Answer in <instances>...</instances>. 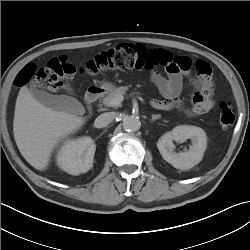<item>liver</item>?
<instances>
[{
  "label": "liver",
  "instance_id": "obj_1",
  "mask_svg": "<svg viewBox=\"0 0 250 250\" xmlns=\"http://www.w3.org/2000/svg\"><path fill=\"white\" fill-rule=\"evenodd\" d=\"M86 119L42 105L27 87L17 96L13 133L24 159L35 169H47L52 152L62 139L76 133Z\"/></svg>",
  "mask_w": 250,
  "mask_h": 250
}]
</instances>
